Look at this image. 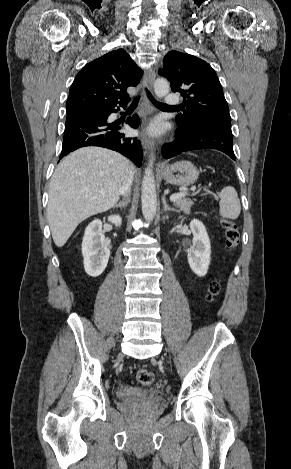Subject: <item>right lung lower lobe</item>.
I'll list each match as a JSON object with an SVG mask.
<instances>
[{"mask_svg": "<svg viewBox=\"0 0 291 469\" xmlns=\"http://www.w3.org/2000/svg\"><path fill=\"white\" fill-rule=\"evenodd\" d=\"M124 103L96 104L67 114L62 152L60 159L71 151L86 146H100L120 152L131 159L138 167L142 164V147L136 138L125 136L119 123L108 117L117 112ZM132 128H137L139 118L133 115L126 120Z\"/></svg>", "mask_w": 291, "mask_h": 469, "instance_id": "98d812e1", "label": "right lung lower lobe"}]
</instances>
